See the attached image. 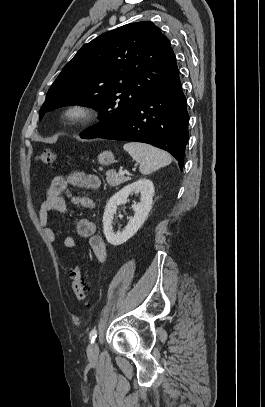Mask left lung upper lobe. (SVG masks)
I'll return each instance as SVG.
<instances>
[{"mask_svg":"<svg viewBox=\"0 0 265 407\" xmlns=\"http://www.w3.org/2000/svg\"><path fill=\"white\" fill-rule=\"evenodd\" d=\"M178 72L170 41L161 30L150 21L130 23L82 46L51 85L39 117L67 105L93 107L100 122L81 138H95Z\"/></svg>","mask_w":265,"mask_h":407,"instance_id":"5c2ea615","label":"left lung upper lobe"}]
</instances>
